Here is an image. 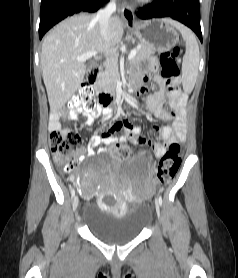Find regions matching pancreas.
I'll return each instance as SVG.
<instances>
[{"instance_id":"pancreas-1","label":"pancreas","mask_w":238,"mask_h":278,"mask_svg":"<svg viewBox=\"0 0 238 278\" xmlns=\"http://www.w3.org/2000/svg\"><path fill=\"white\" fill-rule=\"evenodd\" d=\"M155 48L152 46L141 44L136 49V55L131 60V63L136 64L143 59L155 53ZM120 80L118 67L114 64H107L105 70L98 74L95 86L104 92H113L116 83Z\"/></svg>"}]
</instances>
